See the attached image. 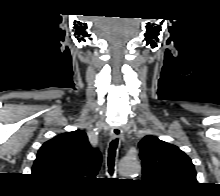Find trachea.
<instances>
[{
	"label": "trachea",
	"instance_id": "obj_1",
	"mask_svg": "<svg viewBox=\"0 0 220 196\" xmlns=\"http://www.w3.org/2000/svg\"><path fill=\"white\" fill-rule=\"evenodd\" d=\"M119 139L116 138L110 142L109 149H108V172L112 175L114 172V165H115V156H116V150L118 147Z\"/></svg>",
	"mask_w": 220,
	"mask_h": 196
}]
</instances>
